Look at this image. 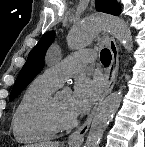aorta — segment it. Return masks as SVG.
Segmentation results:
<instances>
[{
    "label": "aorta",
    "instance_id": "aorta-1",
    "mask_svg": "<svg viewBox=\"0 0 145 147\" xmlns=\"http://www.w3.org/2000/svg\"><path fill=\"white\" fill-rule=\"evenodd\" d=\"M108 31L127 50L132 52V35L127 24L120 18L100 15L74 26L68 34V42L72 48L89 45L100 31ZM122 101L121 92H113L97 107L84 147H99L103 134L118 110Z\"/></svg>",
    "mask_w": 145,
    "mask_h": 147
}]
</instances>
